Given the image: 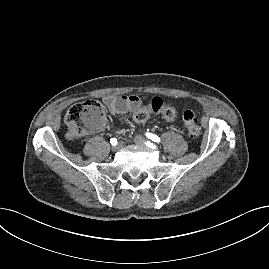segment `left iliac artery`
Masks as SVG:
<instances>
[{
  "label": "left iliac artery",
  "mask_w": 269,
  "mask_h": 269,
  "mask_svg": "<svg viewBox=\"0 0 269 269\" xmlns=\"http://www.w3.org/2000/svg\"><path fill=\"white\" fill-rule=\"evenodd\" d=\"M145 135H146V137L148 139H150L152 141L160 142V138L157 135H155V134H152V133L147 132V133H145Z\"/></svg>",
  "instance_id": "obj_1"
}]
</instances>
